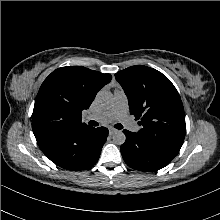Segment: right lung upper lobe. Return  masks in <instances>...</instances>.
I'll return each instance as SVG.
<instances>
[{"mask_svg": "<svg viewBox=\"0 0 220 220\" xmlns=\"http://www.w3.org/2000/svg\"><path fill=\"white\" fill-rule=\"evenodd\" d=\"M111 79L110 74L80 66L53 71L41 85L34 104L32 126L36 140L89 128L81 122V113Z\"/></svg>", "mask_w": 220, "mask_h": 220, "instance_id": "1", "label": "right lung upper lobe"}]
</instances>
